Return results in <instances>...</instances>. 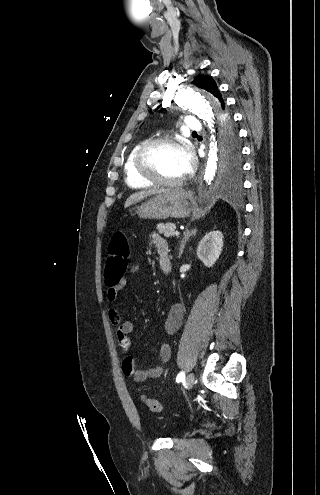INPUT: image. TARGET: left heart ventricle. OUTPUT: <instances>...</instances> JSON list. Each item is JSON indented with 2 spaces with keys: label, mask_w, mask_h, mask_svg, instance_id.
<instances>
[{
  "label": "left heart ventricle",
  "mask_w": 320,
  "mask_h": 495,
  "mask_svg": "<svg viewBox=\"0 0 320 495\" xmlns=\"http://www.w3.org/2000/svg\"><path fill=\"white\" fill-rule=\"evenodd\" d=\"M186 152L174 145H162L155 148L148 157L151 169L156 175L168 180H176L186 174Z\"/></svg>",
  "instance_id": "left-heart-ventricle-1"
}]
</instances>
